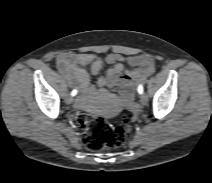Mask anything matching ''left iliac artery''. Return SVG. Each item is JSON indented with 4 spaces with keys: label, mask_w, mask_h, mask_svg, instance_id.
Returning a JSON list of instances; mask_svg holds the SVG:
<instances>
[{
    "label": "left iliac artery",
    "mask_w": 212,
    "mask_h": 183,
    "mask_svg": "<svg viewBox=\"0 0 212 183\" xmlns=\"http://www.w3.org/2000/svg\"><path fill=\"white\" fill-rule=\"evenodd\" d=\"M138 92H139V94H142L143 93V86L142 85H139Z\"/></svg>",
    "instance_id": "44dca946"
}]
</instances>
